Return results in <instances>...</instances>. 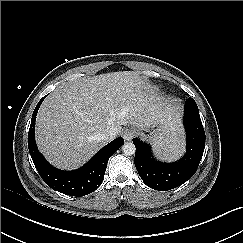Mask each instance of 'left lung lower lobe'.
Returning <instances> with one entry per match:
<instances>
[{
    "label": "left lung lower lobe",
    "mask_w": 243,
    "mask_h": 243,
    "mask_svg": "<svg viewBox=\"0 0 243 243\" xmlns=\"http://www.w3.org/2000/svg\"><path fill=\"white\" fill-rule=\"evenodd\" d=\"M184 125L187 133V150L175 163L155 160L147 143L137 138L133 139L136 147L135 167L147 186L159 191H168L182 185L195 174L205 148V132L198 107L192 98L185 102Z\"/></svg>",
    "instance_id": "0a47b994"
}]
</instances>
